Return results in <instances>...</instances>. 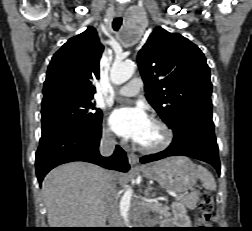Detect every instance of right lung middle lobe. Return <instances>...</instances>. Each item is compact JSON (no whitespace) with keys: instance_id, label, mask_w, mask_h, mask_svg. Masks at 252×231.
I'll return each mask as SVG.
<instances>
[{"instance_id":"1","label":"right lung middle lobe","mask_w":252,"mask_h":231,"mask_svg":"<svg viewBox=\"0 0 252 231\" xmlns=\"http://www.w3.org/2000/svg\"><path fill=\"white\" fill-rule=\"evenodd\" d=\"M93 97L58 94L42 101V133L59 126L99 128L102 112L95 107Z\"/></svg>"}]
</instances>
